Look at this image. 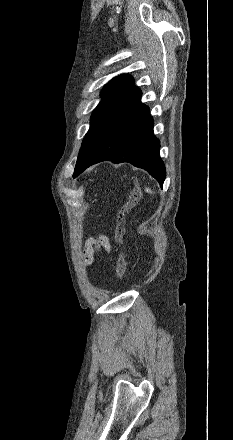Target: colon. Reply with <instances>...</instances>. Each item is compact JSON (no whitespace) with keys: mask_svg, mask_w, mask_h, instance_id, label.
Wrapping results in <instances>:
<instances>
[{"mask_svg":"<svg viewBox=\"0 0 233 440\" xmlns=\"http://www.w3.org/2000/svg\"><path fill=\"white\" fill-rule=\"evenodd\" d=\"M141 195L142 193L140 188L136 185L133 186L129 192L127 201L122 205L117 213L116 227L114 230V241L119 250L116 264V276L119 280L125 276L127 271L126 253L123 244L126 216L137 206L141 199Z\"/></svg>","mask_w":233,"mask_h":440,"instance_id":"obj_1","label":"colon"}]
</instances>
